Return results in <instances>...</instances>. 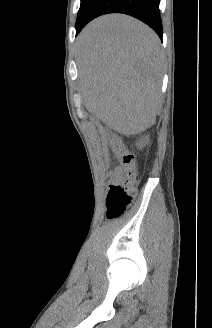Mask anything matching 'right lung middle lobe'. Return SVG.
Segmentation results:
<instances>
[{
	"instance_id": "right-lung-middle-lobe-1",
	"label": "right lung middle lobe",
	"mask_w": 212,
	"mask_h": 328,
	"mask_svg": "<svg viewBox=\"0 0 212 328\" xmlns=\"http://www.w3.org/2000/svg\"><path fill=\"white\" fill-rule=\"evenodd\" d=\"M95 1L96 0H81V5H80V9L78 11V16H77V20H76V28L83 22L89 8Z\"/></svg>"
}]
</instances>
